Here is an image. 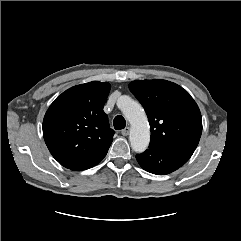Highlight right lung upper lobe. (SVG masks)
I'll list each match as a JSON object with an SVG mask.
<instances>
[{
    "label": "right lung upper lobe",
    "instance_id": "right-lung-upper-lobe-1",
    "mask_svg": "<svg viewBox=\"0 0 241 241\" xmlns=\"http://www.w3.org/2000/svg\"><path fill=\"white\" fill-rule=\"evenodd\" d=\"M109 91V83L93 81L69 88L50 105L43 136L62 166L70 168L107 153L115 133L103 111Z\"/></svg>",
    "mask_w": 241,
    "mask_h": 241
}]
</instances>
